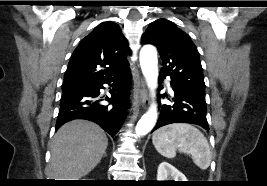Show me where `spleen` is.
I'll return each instance as SVG.
<instances>
[{"label": "spleen", "mask_w": 267, "mask_h": 186, "mask_svg": "<svg viewBox=\"0 0 267 186\" xmlns=\"http://www.w3.org/2000/svg\"><path fill=\"white\" fill-rule=\"evenodd\" d=\"M155 149L166 158H174L176 150L191 155L195 165L207 169L211 162V151L204 134L186 123L164 126L152 136Z\"/></svg>", "instance_id": "1"}]
</instances>
